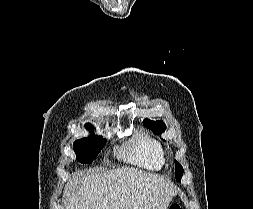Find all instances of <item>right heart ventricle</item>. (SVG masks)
Returning a JSON list of instances; mask_svg holds the SVG:
<instances>
[{
	"label": "right heart ventricle",
	"mask_w": 253,
	"mask_h": 209,
	"mask_svg": "<svg viewBox=\"0 0 253 209\" xmlns=\"http://www.w3.org/2000/svg\"><path fill=\"white\" fill-rule=\"evenodd\" d=\"M130 162L151 170L160 169L165 163V153L162 144L146 132L133 135L127 144Z\"/></svg>",
	"instance_id": "e07e8e85"
}]
</instances>
